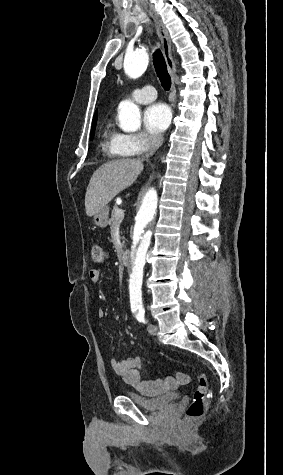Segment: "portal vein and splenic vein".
I'll list each match as a JSON object with an SVG mask.
<instances>
[{
  "label": "portal vein and splenic vein",
  "instance_id": "18ae733b",
  "mask_svg": "<svg viewBox=\"0 0 283 475\" xmlns=\"http://www.w3.org/2000/svg\"><path fill=\"white\" fill-rule=\"evenodd\" d=\"M120 214H121V216H123V212H122V210H121Z\"/></svg>",
  "mask_w": 283,
  "mask_h": 475
}]
</instances>
